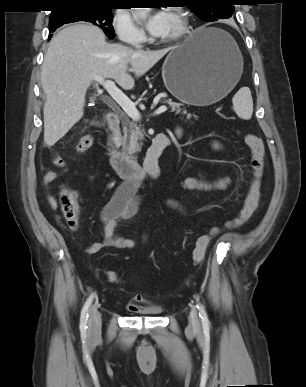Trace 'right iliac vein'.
I'll use <instances>...</instances> for the list:
<instances>
[{
	"mask_svg": "<svg viewBox=\"0 0 306 387\" xmlns=\"http://www.w3.org/2000/svg\"><path fill=\"white\" fill-rule=\"evenodd\" d=\"M89 334L92 337H96L99 335L101 330V316L98 311V307L94 304L89 310Z\"/></svg>",
	"mask_w": 306,
	"mask_h": 387,
	"instance_id": "1",
	"label": "right iliac vein"
}]
</instances>
